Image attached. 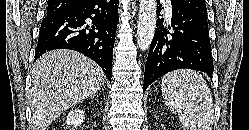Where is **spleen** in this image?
<instances>
[{
    "mask_svg": "<svg viewBox=\"0 0 249 130\" xmlns=\"http://www.w3.org/2000/svg\"><path fill=\"white\" fill-rule=\"evenodd\" d=\"M161 90L166 106L179 115L184 130H212L211 91L199 72L189 69L170 72L162 78Z\"/></svg>",
    "mask_w": 249,
    "mask_h": 130,
    "instance_id": "obj_1",
    "label": "spleen"
}]
</instances>
